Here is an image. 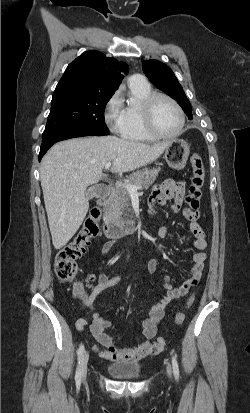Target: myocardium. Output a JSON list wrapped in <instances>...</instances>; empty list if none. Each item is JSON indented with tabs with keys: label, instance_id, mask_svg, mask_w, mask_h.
I'll list each match as a JSON object with an SVG mask.
<instances>
[{
	"label": "myocardium",
	"instance_id": "myocardium-1",
	"mask_svg": "<svg viewBox=\"0 0 250 413\" xmlns=\"http://www.w3.org/2000/svg\"><path fill=\"white\" fill-rule=\"evenodd\" d=\"M159 99H165L168 102H170L176 108L180 116V125L177 131L172 134H162L155 128L154 120H153V111H154V106ZM141 110H142L143 124H144L145 130L152 138L160 139V140H168V139H173V138L178 137L183 132L185 122H186L185 113L182 107L180 106V104L171 96L165 93H161V92H152L143 101Z\"/></svg>",
	"mask_w": 250,
	"mask_h": 413
}]
</instances>
